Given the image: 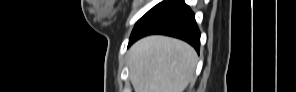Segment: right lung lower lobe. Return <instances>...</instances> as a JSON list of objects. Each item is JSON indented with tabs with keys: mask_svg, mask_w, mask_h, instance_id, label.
<instances>
[{
	"mask_svg": "<svg viewBox=\"0 0 296 92\" xmlns=\"http://www.w3.org/2000/svg\"><path fill=\"white\" fill-rule=\"evenodd\" d=\"M150 34H164L180 38L200 49V31L193 12L183 0H164L148 11L135 25L128 47Z\"/></svg>",
	"mask_w": 296,
	"mask_h": 92,
	"instance_id": "obj_1",
	"label": "right lung lower lobe"
}]
</instances>
